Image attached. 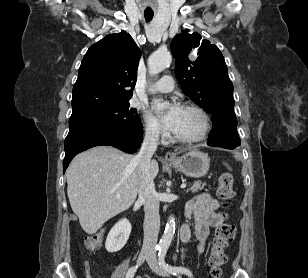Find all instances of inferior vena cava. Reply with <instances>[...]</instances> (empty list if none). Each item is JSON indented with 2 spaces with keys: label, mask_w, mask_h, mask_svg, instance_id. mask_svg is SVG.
Returning <instances> with one entry per match:
<instances>
[{
  "label": "inferior vena cava",
  "mask_w": 308,
  "mask_h": 278,
  "mask_svg": "<svg viewBox=\"0 0 308 278\" xmlns=\"http://www.w3.org/2000/svg\"><path fill=\"white\" fill-rule=\"evenodd\" d=\"M158 135L156 129H147L140 151L134 159L138 164L139 201L143 203L145 212L142 253L152 254H155L160 229L159 199L150 173L151 158L157 149Z\"/></svg>",
  "instance_id": "inferior-vena-cava-1"
}]
</instances>
